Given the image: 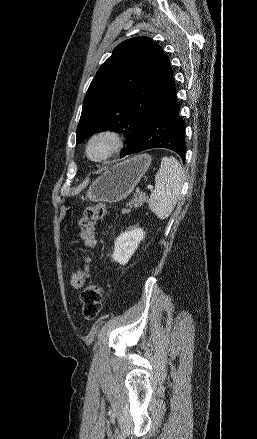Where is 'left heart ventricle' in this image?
I'll use <instances>...</instances> for the list:
<instances>
[{"label": "left heart ventricle", "instance_id": "1", "mask_svg": "<svg viewBox=\"0 0 257 439\" xmlns=\"http://www.w3.org/2000/svg\"><path fill=\"white\" fill-rule=\"evenodd\" d=\"M110 146L111 143L107 139L98 140L91 146L90 153L95 158L101 157L110 149Z\"/></svg>", "mask_w": 257, "mask_h": 439}]
</instances>
